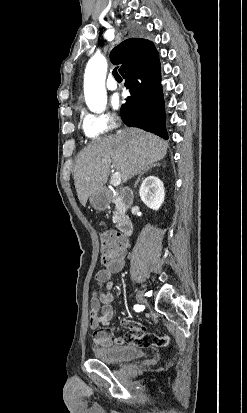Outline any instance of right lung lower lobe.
<instances>
[{
	"instance_id": "right-lung-lower-lobe-1",
	"label": "right lung lower lobe",
	"mask_w": 247,
	"mask_h": 413,
	"mask_svg": "<svg viewBox=\"0 0 247 413\" xmlns=\"http://www.w3.org/2000/svg\"><path fill=\"white\" fill-rule=\"evenodd\" d=\"M125 86L131 94L121 107L123 122L168 139L160 84V64L144 73L125 77Z\"/></svg>"
}]
</instances>
